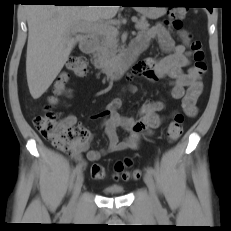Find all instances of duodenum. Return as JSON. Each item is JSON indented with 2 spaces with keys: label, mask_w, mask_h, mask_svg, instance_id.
<instances>
[{
  "label": "duodenum",
  "mask_w": 231,
  "mask_h": 231,
  "mask_svg": "<svg viewBox=\"0 0 231 231\" xmlns=\"http://www.w3.org/2000/svg\"><path fill=\"white\" fill-rule=\"evenodd\" d=\"M98 45V40L94 36H89L81 42V50L86 54H91L95 51ZM137 50H130L119 60V62L113 66L109 72L114 77H119L124 69L131 67L136 60ZM97 68L101 69V64L97 63Z\"/></svg>",
  "instance_id": "obj_1"
}]
</instances>
